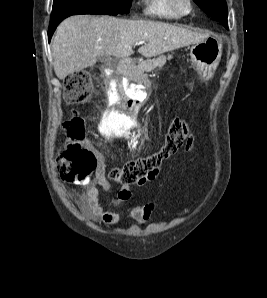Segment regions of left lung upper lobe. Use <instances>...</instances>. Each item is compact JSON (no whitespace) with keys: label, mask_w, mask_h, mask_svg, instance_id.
Instances as JSON below:
<instances>
[{"label":"left lung upper lobe","mask_w":267,"mask_h":298,"mask_svg":"<svg viewBox=\"0 0 267 298\" xmlns=\"http://www.w3.org/2000/svg\"><path fill=\"white\" fill-rule=\"evenodd\" d=\"M194 2L209 16L227 25V4L225 0H194Z\"/></svg>","instance_id":"left-lung-upper-lobe-1"}]
</instances>
